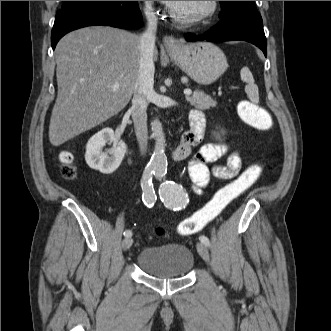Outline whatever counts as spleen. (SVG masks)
Instances as JSON below:
<instances>
[{
	"label": "spleen",
	"instance_id": "spleen-1",
	"mask_svg": "<svg viewBox=\"0 0 331 331\" xmlns=\"http://www.w3.org/2000/svg\"><path fill=\"white\" fill-rule=\"evenodd\" d=\"M241 79L247 83L245 87V92L247 93L248 98L253 102V103H258L259 102V93H258V87L254 83V78L249 70V68L244 67L240 71Z\"/></svg>",
	"mask_w": 331,
	"mask_h": 331
}]
</instances>
